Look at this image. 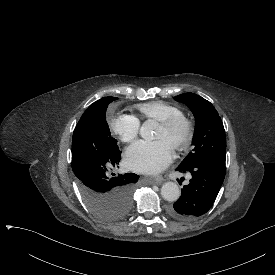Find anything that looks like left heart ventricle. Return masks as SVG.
Returning a JSON list of instances; mask_svg holds the SVG:
<instances>
[{"instance_id":"left-heart-ventricle-1","label":"left heart ventricle","mask_w":275,"mask_h":275,"mask_svg":"<svg viewBox=\"0 0 275 275\" xmlns=\"http://www.w3.org/2000/svg\"><path fill=\"white\" fill-rule=\"evenodd\" d=\"M154 139H165L172 144V140L168 137L166 131L161 126L157 130Z\"/></svg>"}]
</instances>
